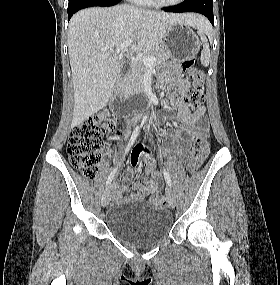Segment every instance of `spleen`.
<instances>
[{
    "label": "spleen",
    "mask_w": 280,
    "mask_h": 285,
    "mask_svg": "<svg viewBox=\"0 0 280 285\" xmlns=\"http://www.w3.org/2000/svg\"><path fill=\"white\" fill-rule=\"evenodd\" d=\"M197 30L201 40L203 41V50L201 52L200 61L203 66L207 67L210 62V49L209 44L207 42L206 34L211 30V28L206 22L205 24L198 26Z\"/></svg>",
    "instance_id": "spleen-1"
}]
</instances>
